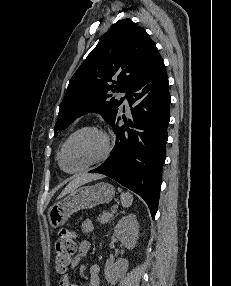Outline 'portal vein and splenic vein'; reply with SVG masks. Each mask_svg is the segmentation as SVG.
I'll return each mask as SVG.
<instances>
[{"label": "portal vein and splenic vein", "instance_id": "18ae733b", "mask_svg": "<svg viewBox=\"0 0 231 286\" xmlns=\"http://www.w3.org/2000/svg\"><path fill=\"white\" fill-rule=\"evenodd\" d=\"M112 212H115V207L111 209Z\"/></svg>", "mask_w": 231, "mask_h": 286}]
</instances>
